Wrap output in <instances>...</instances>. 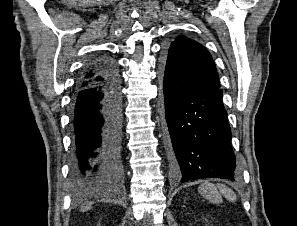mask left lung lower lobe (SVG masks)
<instances>
[{"instance_id":"1","label":"left lung lower lobe","mask_w":297,"mask_h":226,"mask_svg":"<svg viewBox=\"0 0 297 226\" xmlns=\"http://www.w3.org/2000/svg\"><path fill=\"white\" fill-rule=\"evenodd\" d=\"M162 77L164 118L176 180H233L238 168L220 86L194 90L164 69Z\"/></svg>"}]
</instances>
